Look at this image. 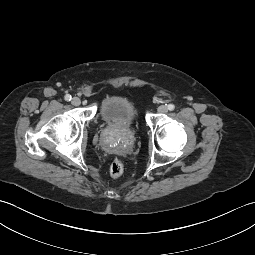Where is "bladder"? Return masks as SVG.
Here are the masks:
<instances>
[{
    "instance_id": "1",
    "label": "bladder",
    "mask_w": 255,
    "mask_h": 255,
    "mask_svg": "<svg viewBox=\"0 0 255 255\" xmlns=\"http://www.w3.org/2000/svg\"><path fill=\"white\" fill-rule=\"evenodd\" d=\"M102 122L120 128L132 127L139 118V113L132 99L123 95L107 97L99 107Z\"/></svg>"
}]
</instances>
